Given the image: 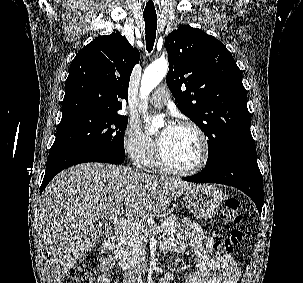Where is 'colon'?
Here are the masks:
<instances>
[{"label":"colon","mask_w":303,"mask_h":283,"mask_svg":"<svg viewBox=\"0 0 303 283\" xmlns=\"http://www.w3.org/2000/svg\"><path fill=\"white\" fill-rule=\"evenodd\" d=\"M221 221L225 225L237 226L241 222V213L239 203L236 199H227L221 210ZM242 231L234 227L231 229L230 235L221 242L215 244V248L231 252L242 241ZM98 258L96 255H88L72 269V271L63 280V283H93L98 269Z\"/></svg>","instance_id":"obj_1"}]
</instances>
